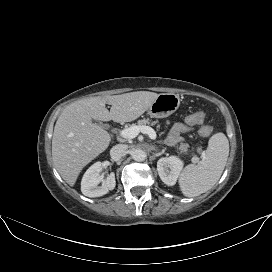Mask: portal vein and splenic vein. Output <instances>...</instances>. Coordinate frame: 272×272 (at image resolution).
<instances>
[{
	"instance_id": "18ae733b",
	"label": "portal vein and splenic vein",
	"mask_w": 272,
	"mask_h": 272,
	"mask_svg": "<svg viewBox=\"0 0 272 272\" xmlns=\"http://www.w3.org/2000/svg\"><path fill=\"white\" fill-rule=\"evenodd\" d=\"M140 132L143 134H147L150 139H156V132L149 126H131L129 128L123 129L119 132V135L125 139H133L135 138Z\"/></svg>"
}]
</instances>
